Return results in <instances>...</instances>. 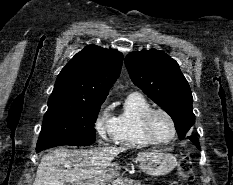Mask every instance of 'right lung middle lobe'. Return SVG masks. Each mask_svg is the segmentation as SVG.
I'll return each mask as SVG.
<instances>
[{
    "mask_svg": "<svg viewBox=\"0 0 233 185\" xmlns=\"http://www.w3.org/2000/svg\"><path fill=\"white\" fill-rule=\"evenodd\" d=\"M103 102L50 96L36 151L59 145L93 144L94 122Z\"/></svg>",
    "mask_w": 233,
    "mask_h": 185,
    "instance_id": "obj_1",
    "label": "right lung middle lobe"
}]
</instances>
